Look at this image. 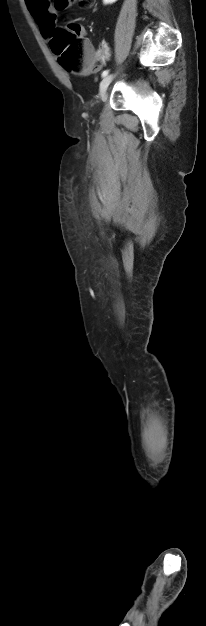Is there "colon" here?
Returning <instances> with one entry per match:
<instances>
[{
    "label": "colon",
    "instance_id": "obj_1",
    "mask_svg": "<svg viewBox=\"0 0 206 626\" xmlns=\"http://www.w3.org/2000/svg\"><path fill=\"white\" fill-rule=\"evenodd\" d=\"M90 6L93 0H50L49 4L56 10H65L72 4ZM79 27L68 24L64 28L55 30L53 47L61 55L66 65L72 70H79L83 66L84 45L78 35Z\"/></svg>",
    "mask_w": 206,
    "mask_h": 626
}]
</instances>
